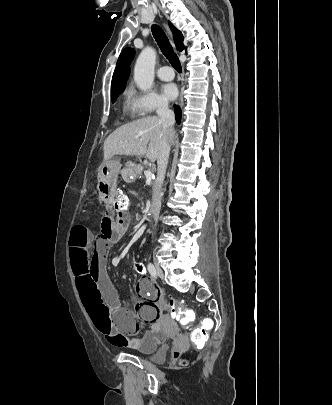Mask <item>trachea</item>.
<instances>
[{"label": "trachea", "instance_id": "trachea-1", "mask_svg": "<svg viewBox=\"0 0 332 405\" xmlns=\"http://www.w3.org/2000/svg\"><path fill=\"white\" fill-rule=\"evenodd\" d=\"M152 33L163 55L169 60V62L177 72H181L182 68L179 58L173 51V48L165 32L158 25H153Z\"/></svg>", "mask_w": 332, "mask_h": 405}]
</instances>
